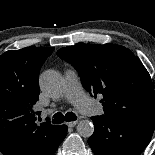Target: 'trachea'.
Masks as SVG:
<instances>
[{
  "instance_id": "1",
  "label": "trachea",
  "mask_w": 155,
  "mask_h": 155,
  "mask_svg": "<svg viewBox=\"0 0 155 155\" xmlns=\"http://www.w3.org/2000/svg\"><path fill=\"white\" fill-rule=\"evenodd\" d=\"M77 119V116L73 113V112H68L65 114V116L58 112L56 113L54 116H53V120L52 122L54 124H60V123H63L64 121H75Z\"/></svg>"
}]
</instances>
